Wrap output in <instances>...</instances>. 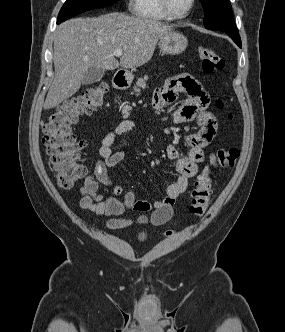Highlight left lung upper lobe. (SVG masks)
I'll use <instances>...</instances> for the list:
<instances>
[{
	"label": "left lung upper lobe",
	"mask_w": 285,
	"mask_h": 332,
	"mask_svg": "<svg viewBox=\"0 0 285 332\" xmlns=\"http://www.w3.org/2000/svg\"><path fill=\"white\" fill-rule=\"evenodd\" d=\"M204 13V25L210 30L239 34L234 23L230 0H200Z\"/></svg>",
	"instance_id": "5c2ea615"
}]
</instances>
